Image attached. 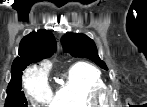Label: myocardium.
I'll use <instances>...</instances> for the list:
<instances>
[{"label": "myocardium", "mask_w": 147, "mask_h": 107, "mask_svg": "<svg viewBox=\"0 0 147 107\" xmlns=\"http://www.w3.org/2000/svg\"><path fill=\"white\" fill-rule=\"evenodd\" d=\"M93 101L99 106H106L111 101V92L108 88L104 87L96 91L93 95Z\"/></svg>", "instance_id": "myocardium-1"}]
</instances>
